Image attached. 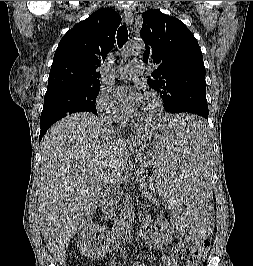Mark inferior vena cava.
<instances>
[{
	"mask_svg": "<svg viewBox=\"0 0 253 266\" xmlns=\"http://www.w3.org/2000/svg\"><path fill=\"white\" fill-rule=\"evenodd\" d=\"M108 124H109V122H108ZM108 132L111 135H118V136H120V130H115L114 126L111 125V121H110V124L108 126ZM111 202H112V200H111Z\"/></svg>",
	"mask_w": 253,
	"mask_h": 266,
	"instance_id": "obj_1",
	"label": "inferior vena cava"
}]
</instances>
